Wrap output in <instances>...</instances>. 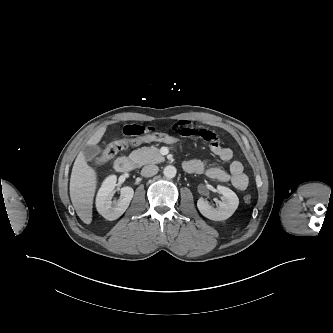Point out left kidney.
Listing matches in <instances>:
<instances>
[{
    "label": "left kidney",
    "mask_w": 333,
    "mask_h": 333,
    "mask_svg": "<svg viewBox=\"0 0 333 333\" xmlns=\"http://www.w3.org/2000/svg\"><path fill=\"white\" fill-rule=\"evenodd\" d=\"M217 191L222 195L218 206L215 208L204 198H199L197 207L200 213L206 218L214 221L226 220L233 215L239 205L237 195L228 187L218 185Z\"/></svg>",
    "instance_id": "1"
}]
</instances>
